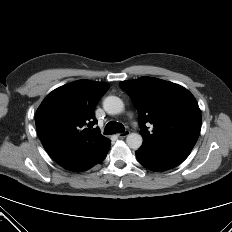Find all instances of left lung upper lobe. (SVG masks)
<instances>
[{
    "mask_svg": "<svg viewBox=\"0 0 232 232\" xmlns=\"http://www.w3.org/2000/svg\"><path fill=\"white\" fill-rule=\"evenodd\" d=\"M120 86L138 110L143 143L195 145L202 119L197 101L187 89L152 77L123 81ZM146 123L154 126L151 132Z\"/></svg>",
    "mask_w": 232,
    "mask_h": 232,
    "instance_id": "obj_1",
    "label": "left lung upper lobe"
}]
</instances>
